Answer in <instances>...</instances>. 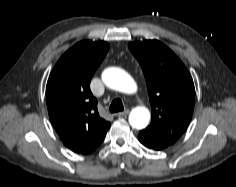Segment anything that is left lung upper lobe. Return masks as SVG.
<instances>
[{
    "label": "left lung upper lobe",
    "instance_id": "5c2ea615",
    "mask_svg": "<svg viewBox=\"0 0 236 187\" xmlns=\"http://www.w3.org/2000/svg\"><path fill=\"white\" fill-rule=\"evenodd\" d=\"M128 46L142 67L152 108L153 120L139 135L172 145L192 118V77L181 60L158 40L131 42Z\"/></svg>",
    "mask_w": 236,
    "mask_h": 187
}]
</instances>
